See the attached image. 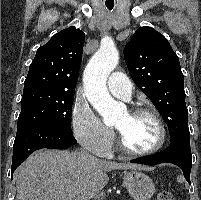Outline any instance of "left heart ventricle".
Returning a JSON list of instances; mask_svg holds the SVG:
<instances>
[{
	"mask_svg": "<svg viewBox=\"0 0 201 200\" xmlns=\"http://www.w3.org/2000/svg\"><path fill=\"white\" fill-rule=\"evenodd\" d=\"M115 128L123 134L128 146L138 151L152 148L160 138L156 121L148 115L131 116L126 112L116 122Z\"/></svg>",
	"mask_w": 201,
	"mask_h": 200,
	"instance_id": "obj_1",
	"label": "left heart ventricle"
}]
</instances>
